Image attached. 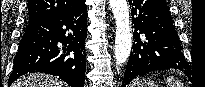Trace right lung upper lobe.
<instances>
[{"instance_id": "obj_1", "label": "right lung upper lobe", "mask_w": 205, "mask_h": 87, "mask_svg": "<svg viewBox=\"0 0 205 87\" xmlns=\"http://www.w3.org/2000/svg\"><path fill=\"white\" fill-rule=\"evenodd\" d=\"M85 0H28V23L61 15Z\"/></svg>"}]
</instances>
